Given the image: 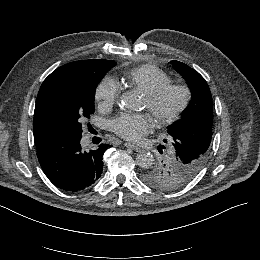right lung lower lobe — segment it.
<instances>
[{
  "instance_id": "98d812e1",
  "label": "right lung lower lobe",
  "mask_w": 260,
  "mask_h": 260,
  "mask_svg": "<svg viewBox=\"0 0 260 260\" xmlns=\"http://www.w3.org/2000/svg\"><path fill=\"white\" fill-rule=\"evenodd\" d=\"M81 138H60L37 150L42 170L49 180L63 191L75 193L90 187L101 176L103 154L109 147L85 151Z\"/></svg>"
}]
</instances>
